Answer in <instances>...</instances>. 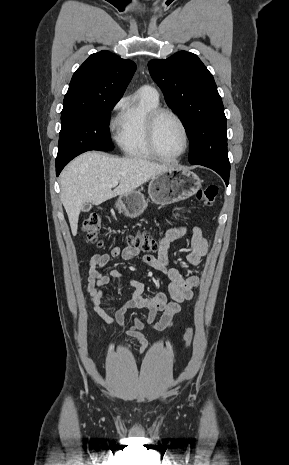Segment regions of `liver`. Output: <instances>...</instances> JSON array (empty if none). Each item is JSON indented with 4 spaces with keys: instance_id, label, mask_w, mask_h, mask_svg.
<instances>
[{
    "instance_id": "1",
    "label": "liver",
    "mask_w": 289,
    "mask_h": 465,
    "mask_svg": "<svg viewBox=\"0 0 289 465\" xmlns=\"http://www.w3.org/2000/svg\"><path fill=\"white\" fill-rule=\"evenodd\" d=\"M169 168L140 158H115L100 152H87L75 158L60 175L61 202L72 235L77 234L80 210L85 203L100 205L131 193ZM114 181L119 185L112 190L110 185Z\"/></svg>"
}]
</instances>
